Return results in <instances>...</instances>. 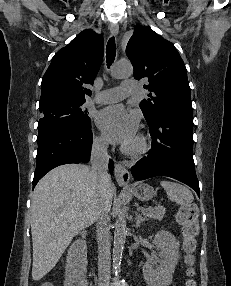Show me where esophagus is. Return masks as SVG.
Segmentation results:
<instances>
[{
	"mask_svg": "<svg viewBox=\"0 0 231 286\" xmlns=\"http://www.w3.org/2000/svg\"><path fill=\"white\" fill-rule=\"evenodd\" d=\"M109 29L112 35H115V36L118 35L119 27L117 24H114V23L110 24ZM114 172H115L116 181L120 186L128 185L129 180H130V173L123 164L115 163Z\"/></svg>",
	"mask_w": 231,
	"mask_h": 286,
	"instance_id": "34e87169",
	"label": "esophagus"
}]
</instances>
